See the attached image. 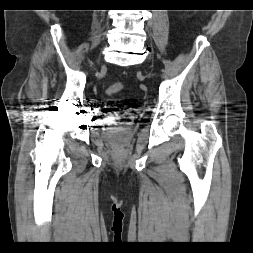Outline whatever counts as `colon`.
<instances>
[{
    "instance_id": "obj_1",
    "label": "colon",
    "mask_w": 253,
    "mask_h": 253,
    "mask_svg": "<svg viewBox=\"0 0 253 253\" xmlns=\"http://www.w3.org/2000/svg\"><path fill=\"white\" fill-rule=\"evenodd\" d=\"M122 88H123V85L121 83H114L107 88V94L108 95L116 94L120 92Z\"/></svg>"
}]
</instances>
